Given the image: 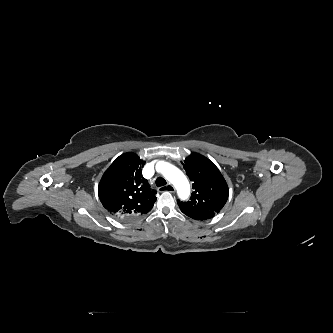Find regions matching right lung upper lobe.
Instances as JSON below:
<instances>
[{"mask_svg": "<svg viewBox=\"0 0 333 333\" xmlns=\"http://www.w3.org/2000/svg\"><path fill=\"white\" fill-rule=\"evenodd\" d=\"M145 164L135 153L122 154L103 174L98 195L102 205L112 215H143L156 201V191L151 190L142 176Z\"/></svg>", "mask_w": 333, "mask_h": 333, "instance_id": "obj_1", "label": "right lung upper lobe"}]
</instances>
